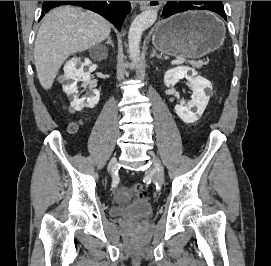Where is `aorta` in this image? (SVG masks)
Returning a JSON list of instances; mask_svg holds the SVG:
<instances>
[{
  "instance_id": "aorta-1",
  "label": "aorta",
  "mask_w": 271,
  "mask_h": 266,
  "mask_svg": "<svg viewBox=\"0 0 271 266\" xmlns=\"http://www.w3.org/2000/svg\"><path fill=\"white\" fill-rule=\"evenodd\" d=\"M156 10H146L139 14L131 23L128 31V52L134 64L140 61V42L142 34L157 20Z\"/></svg>"
}]
</instances>
